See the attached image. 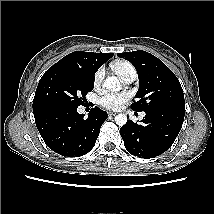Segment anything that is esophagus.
Returning a JSON list of instances; mask_svg holds the SVG:
<instances>
[{
    "label": "esophagus",
    "instance_id": "1",
    "mask_svg": "<svg viewBox=\"0 0 214 214\" xmlns=\"http://www.w3.org/2000/svg\"><path fill=\"white\" fill-rule=\"evenodd\" d=\"M108 115H109V116H115L116 113H115V112H108Z\"/></svg>",
    "mask_w": 214,
    "mask_h": 214
}]
</instances>
